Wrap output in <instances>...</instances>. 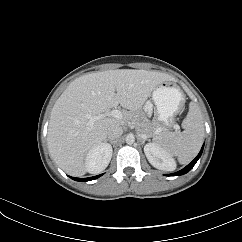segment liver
Returning <instances> with one entry per match:
<instances>
[{
    "instance_id": "obj_1",
    "label": "liver",
    "mask_w": 242,
    "mask_h": 242,
    "mask_svg": "<svg viewBox=\"0 0 242 242\" xmlns=\"http://www.w3.org/2000/svg\"><path fill=\"white\" fill-rule=\"evenodd\" d=\"M174 78L158 71L108 70L75 79L54 104L47 142L51 157L66 173L82 176L85 158L94 146L106 141L108 128L124 126L139 115L152 91ZM123 107V118L104 117L89 125L87 115L98 116Z\"/></svg>"
}]
</instances>
